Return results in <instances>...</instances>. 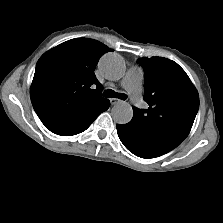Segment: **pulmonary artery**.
<instances>
[{"mask_svg":"<svg viewBox=\"0 0 223 223\" xmlns=\"http://www.w3.org/2000/svg\"><path fill=\"white\" fill-rule=\"evenodd\" d=\"M143 77V70L140 67L134 66L127 71L121 82L122 87L128 92L131 101L137 107L144 105L142 98Z\"/></svg>","mask_w":223,"mask_h":223,"instance_id":"e3ab8cb5","label":"pulmonary artery"}]
</instances>
